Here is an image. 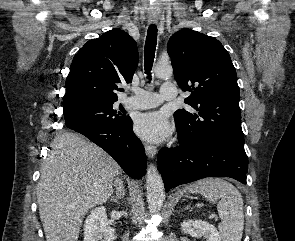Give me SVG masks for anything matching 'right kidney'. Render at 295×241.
<instances>
[{
	"label": "right kidney",
	"mask_w": 295,
	"mask_h": 241,
	"mask_svg": "<svg viewBox=\"0 0 295 241\" xmlns=\"http://www.w3.org/2000/svg\"><path fill=\"white\" fill-rule=\"evenodd\" d=\"M114 235V229L107 224L106 208L92 210L85 220L84 241H113Z\"/></svg>",
	"instance_id": "obj_1"
}]
</instances>
